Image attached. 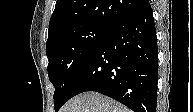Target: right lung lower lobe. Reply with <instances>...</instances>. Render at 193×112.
Segmentation results:
<instances>
[{"instance_id":"1","label":"right lung lower lobe","mask_w":193,"mask_h":112,"mask_svg":"<svg viewBox=\"0 0 193 112\" xmlns=\"http://www.w3.org/2000/svg\"><path fill=\"white\" fill-rule=\"evenodd\" d=\"M157 83V37L148 1L100 39L78 71L67 101L96 91L135 112H156Z\"/></svg>"}]
</instances>
